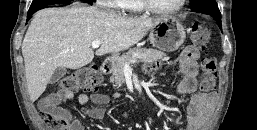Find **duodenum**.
I'll return each mask as SVG.
<instances>
[{
    "mask_svg": "<svg viewBox=\"0 0 257 130\" xmlns=\"http://www.w3.org/2000/svg\"><path fill=\"white\" fill-rule=\"evenodd\" d=\"M112 69V62L111 60L109 59H106L104 60L101 65H100V71L103 73V74H108L110 73Z\"/></svg>",
    "mask_w": 257,
    "mask_h": 130,
    "instance_id": "obj_1",
    "label": "duodenum"
}]
</instances>
